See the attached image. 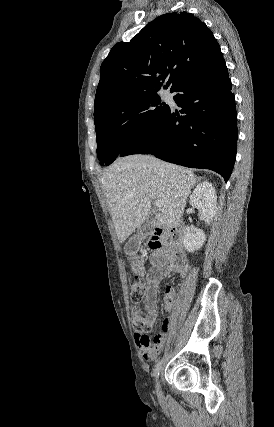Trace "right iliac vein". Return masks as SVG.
Masks as SVG:
<instances>
[{
  "mask_svg": "<svg viewBox=\"0 0 274 427\" xmlns=\"http://www.w3.org/2000/svg\"><path fill=\"white\" fill-rule=\"evenodd\" d=\"M160 388H161L160 381H159V379H157V381H156V390H157V392L160 391Z\"/></svg>",
  "mask_w": 274,
  "mask_h": 427,
  "instance_id": "1",
  "label": "right iliac vein"
}]
</instances>
